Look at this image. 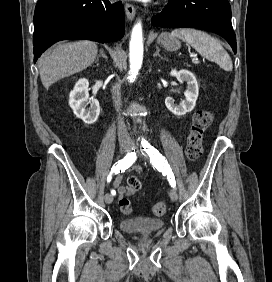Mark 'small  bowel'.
<instances>
[{"label": "small bowel", "instance_id": "1", "mask_svg": "<svg viewBox=\"0 0 272 282\" xmlns=\"http://www.w3.org/2000/svg\"><path fill=\"white\" fill-rule=\"evenodd\" d=\"M131 169L135 172H139L141 170V167L139 165H135ZM121 180H122V175H118L116 179L113 181V187L117 189L120 197L125 195H132L136 193L141 187V182L138 179L135 184H128L127 186L121 185Z\"/></svg>", "mask_w": 272, "mask_h": 282}]
</instances>
